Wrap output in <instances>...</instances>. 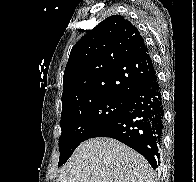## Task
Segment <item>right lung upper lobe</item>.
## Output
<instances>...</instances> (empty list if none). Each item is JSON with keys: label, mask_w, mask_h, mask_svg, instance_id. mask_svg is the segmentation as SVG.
<instances>
[{"label": "right lung upper lobe", "mask_w": 196, "mask_h": 182, "mask_svg": "<svg viewBox=\"0 0 196 182\" xmlns=\"http://www.w3.org/2000/svg\"><path fill=\"white\" fill-rule=\"evenodd\" d=\"M154 72L138 29L113 15L72 48L63 77L62 112L100 97L129 99Z\"/></svg>", "instance_id": "right-lung-upper-lobe-1"}]
</instances>
